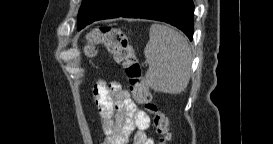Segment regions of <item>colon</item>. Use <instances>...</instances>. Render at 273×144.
Segmentation results:
<instances>
[{
  "instance_id": "colon-1",
  "label": "colon",
  "mask_w": 273,
  "mask_h": 144,
  "mask_svg": "<svg viewBox=\"0 0 273 144\" xmlns=\"http://www.w3.org/2000/svg\"><path fill=\"white\" fill-rule=\"evenodd\" d=\"M88 41L89 45L86 47V54L89 56L95 54L96 45L99 42L103 41L106 44L108 52L116 63L124 69L135 101L152 115L158 143H168L170 138L168 119L153 102L150 89L143 79L142 66L123 30L110 24L100 25L88 35Z\"/></svg>"
}]
</instances>
